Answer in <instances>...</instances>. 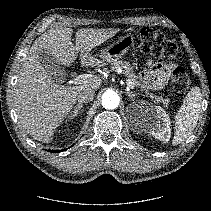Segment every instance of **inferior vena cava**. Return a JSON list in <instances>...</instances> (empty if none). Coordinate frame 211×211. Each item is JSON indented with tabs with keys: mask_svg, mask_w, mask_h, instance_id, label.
Listing matches in <instances>:
<instances>
[{
	"mask_svg": "<svg viewBox=\"0 0 211 211\" xmlns=\"http://www.w3.org/2000/svg\"><path fill=\"white\" fill-rule=\"evenodd\" d=\"M95 91L91 88H86L78 93L77 100L80 103H89L94 99Z\"/></svg>",
	"mask_w": 211,
	"mask_h": 211,
	"instance_id": "1",
	"label": "inferior vena cava"
}]
</instances>
